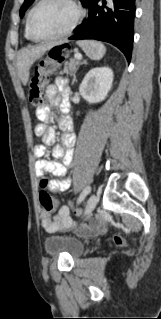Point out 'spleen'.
Wrapping results in <instances>:
<instances>
[{"instance_id":"1","label":"spleen","mask_w":161,"mask_h":319,"mask_svg":"<svg viewBox=\"0 0 161 319\" xmlns=\"http://www.w3.org/2000/svg\"><path fill=\"white\" fill-rule=\"evenodd\" d=\"M77 44L84 53L92 60H100L106 53V47L98 41L85 40L78 41Z\"/></svg>"}]
</instances>
